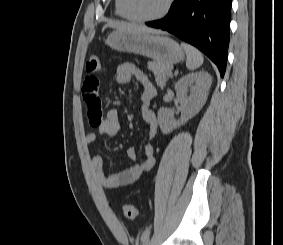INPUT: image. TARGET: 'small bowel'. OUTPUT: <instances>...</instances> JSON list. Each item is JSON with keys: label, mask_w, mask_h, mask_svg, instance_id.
<instances>
[{"label": "small bowel", "mask_w": 283, "mask_h": 245, "mask_svg": "<svg viewBox=\"0 0 283 245\" xmlns=\"http://www.w3.org/2000/svg\"><path fill=\"white\" fill-rule=\"evenodd\" d=\"M136 79L142 86L141 118L148 129L149 141L143 147L144 157L137 161V152L134 147L127 150L129 158L135 163L126 169L110 174L104 173V161L100 155H95L91 161V171L95 180L109 189H118L134 183L142 174L150 171L155 164L153 139L157 133V119L149 105L156 95V89L148 76L131 63L120 64L116 69V82L126 84L131 79ZM100 81L97 76L89 74L82 85V96L87 109L90 125L97 132H90L86 136L88 143L97 141L99 135L114 137L119 134L121 126L118 111L111 108L105 115L102 113L101 99L99 96Z\"/></svg>", "instance_id": "c3829d8e"}]
</instances>
